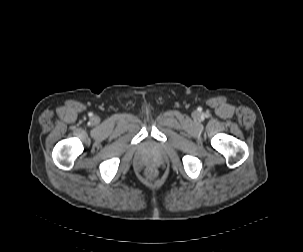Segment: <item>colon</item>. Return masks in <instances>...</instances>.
<instances>
[{
	"label": "colon",
	"instance_id": "obj_1",
	"mask_svg": "<svg viewBox=\"0 0 303 252\" xmlns=\"http://www.w3.org/2000/svg\"><path fill=\"white\" fill-rule=\"evenodd\" d=\"M147 176L150 178V179H155L157 176H158V171L156 168L154 167H151L147 170Z\"/></svg>",
	"mask_w": 303,
	"mask_h": 252
}]
</instances>
